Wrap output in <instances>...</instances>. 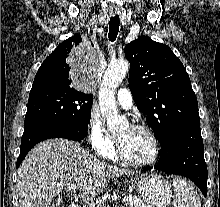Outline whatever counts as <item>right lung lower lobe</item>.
Masks as SVG:
<instances>
[{
  "instance_id": "obj_1",
  "label": "right lung lower lobe",
  "mask_w": 220,
  "mask_h": 207,
  "mask_svg": "<svg viewBox=\"0 0 220 207\" xmlns=\"http://www.w3.org/2000/svg\"><path fill=\"white\" fill-rule=\"evenodd\" d=\"M85 126L54 123L45 121H33L24 128L21 139V151L17 159V167L25 158L27 153L40 141L50 138H66L74 141H80L87 135Z\"/></svg>"
}]
</instances>
